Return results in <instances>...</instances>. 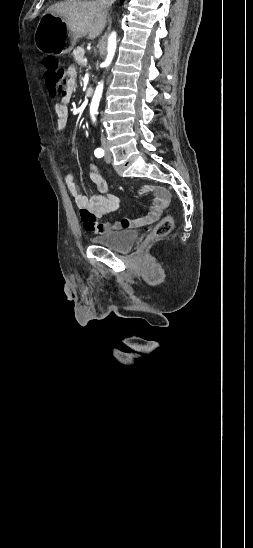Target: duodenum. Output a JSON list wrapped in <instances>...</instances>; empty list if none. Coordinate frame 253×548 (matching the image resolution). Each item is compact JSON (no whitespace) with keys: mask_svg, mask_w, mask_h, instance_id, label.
<instances>
[{"mask_svg":"<svg viewBox=\"0 0 253 548\" xmlns=\"http://www.w3.org/2000/svg\"><path fill=\"white\" fill-rule=\"evenodd\" d=\"M93 92H94V89H93L92 87H88V88L86 89V92H85V93H86V96H87V97H91V96L93 95Z\"/></svg>","mask_w":253,"mask_h":548,"instance_id":"410a0bca","label":"duodenum"}]
</instances>
